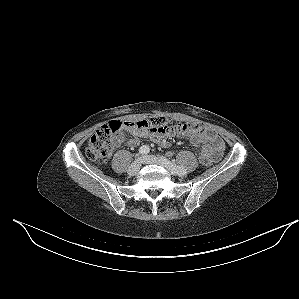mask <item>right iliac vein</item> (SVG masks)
Masks as SVG:
<instances>
[{
	"instance_id": "right-iliac-vein-1",
	"label": "right iliac vein",
	"mask_w": 299,
	"mask_h": 299,
	"mask_svg": "<svg viewBox=\"0 0 299 299\" xmlns=\"http://www.w3.org/2000/svg\"><path fill=\"white\" fill-rule=\"evenodd\" d=\"M141 166V159L135 160L128 169V174L134 176L137 174Z\"/></svg>"
}]
</instances>
